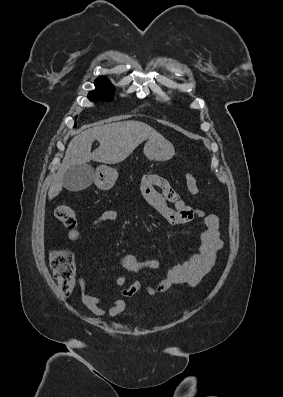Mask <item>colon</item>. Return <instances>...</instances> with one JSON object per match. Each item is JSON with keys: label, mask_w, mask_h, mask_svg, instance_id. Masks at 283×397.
<instances>
[{"label": "colon", "mask_w": 283, "mask_h": 397, "mask_svg": "<svg viewBox=\"0 0 283 397\" xmlns=\"http://www.w3.org/2000/svg\"><path fill=\"white\" fill-rule=\"evenodd\" d=\"M186 186L192 195H199L200 190L193 174H186ZM58 221L67 227L76 225V212L73 207L62 203L55 209ZM49 263L62 295H70L75 288V262L73 253L68 249H53L49 253Z\"/></svg>", "instance_id": "5ec220e1"}]
</instances>
